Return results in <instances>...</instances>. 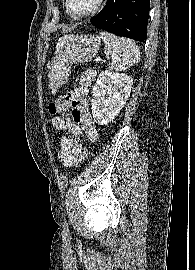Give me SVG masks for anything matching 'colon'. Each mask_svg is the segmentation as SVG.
Listing matches in <instances>:
<instances>
[{"label": "colon", "mask_w": 195, "mask_h": 270, "mask_svg": "<svg viewBox=\"0 0 195 270\" xmlns=\"http://www.w3.org/2000/svg\"><path fill=\"white\" fill-rule=\"evenodd\" d=\"M71 101H72L71 93H67L63 96H60L50 103L49 112L52 115L59 114L60 112L66 110L70 106ZM87 156H88V150L86 148H82L78 156V162L80 165L85 162V160L87 159Z\"/></svg>", "instance_id": "1"}]
</instances>
